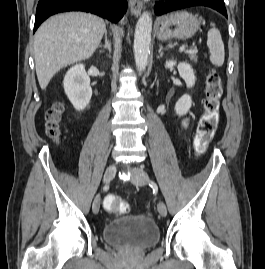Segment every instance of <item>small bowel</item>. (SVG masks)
I'll use <instances>...</instances> for the list:
<instances>
[{"label":"small bowel","mask_w":265,"mask_h":269,"mask_svg":"<svg viewBox=\"0 0 265 269\" xmlns=\"http://www.w3.org/2000/svg\"><path fill=\"white\" fill-rule=\"evenodd\" d=\"M187 124H188V120H184V122H183V127H186Z\"/></svg>","instance_id":"small-bowel-1"}]
</instances>
